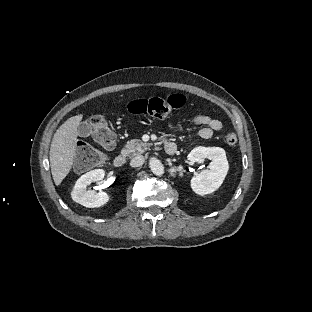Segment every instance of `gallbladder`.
<instances>
[{
    "instance_id": "gallbladder-1",
    "label": "gallbladder",
    "mask_w": 312,
    "mask_h": 312,
    "mask_svg": "<svg viewBox=\"0 0 312 312\" xmlns=\"http://www.w3.org/2000/svg\"><path fill=\"white\" fill-rule=\"evenodd\" d=\"M92 126L88 122H82L78 126V134L80 137H88L91 133Z\"/></svg>"
}]
</instances>
